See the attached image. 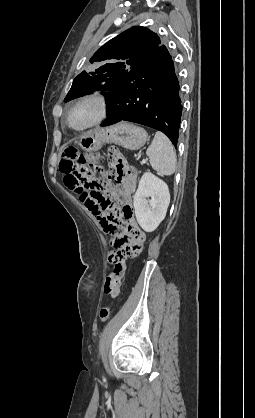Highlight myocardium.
Instances as JSON below:
<instances>
[{"mask_svg":"<svg viewBox=\"0 0 255 418\" xmlns=\"http://www.w3.org/2000/svg\"><path fill=\"white\" fill-rule=\"evenodd\" d=\"M87 102H92L95 104L96 106V114L93 117V119L88 122L86 125L82 126V127H74L72 126V124L70 123V116L72 111L79 105L83 104V103H87ZM108 101L106 99V97L100 93H89V94H85L83 96H81L80 98H78L75 102H73L70 107L67 110L66 113V117H65V121L67 126L77 132H81V131H86L89 130L93 127H96L98 125H100L106 118L108 115Z\"/></svg>","mask_w":255,"mask_h":418,"instance_id":"obj_1","label":"myocardium"}]
</instances>
